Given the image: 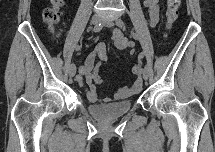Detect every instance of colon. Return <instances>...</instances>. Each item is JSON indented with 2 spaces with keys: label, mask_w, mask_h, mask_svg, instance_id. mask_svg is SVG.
<instances>
[{
  "label": "colon",
  "mask_w": 215,
  "mask_h": 152,
  "mask_svg": "<svg viewBox=\"0 0 215 152\" xmlns=\"http://www.w3.org/2000/svg\"><path fill=\"white\" fill-rule=\"evenodd\" d=\"M180 0H167L166 2V26L170 28L173 23L178 18V11L180 7ZM64 4L63 0H52L51 4L43 10L42 17L44 22L51 28L55 29L56 25L59 22L60 11ZM142 70V66L140 62H137L132 67V73L136 76H139Z\"/></svg>",
  "instance_id": "colon-1"
}]
</instances>
